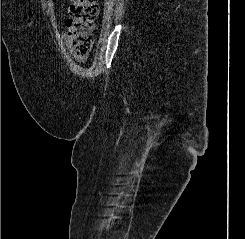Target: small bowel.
<instances>
[{
  "mask_svg": "<svg viewBox=\"0 0 245 239\" xmlns=\"http://www.w3.org/2000/svg\"><path fill=\"white\" fill-rule=\"evenodd\" d=\"M74 58L78 61V62H83L85 61L86 57H77V56H74Z\"/></svg>",
  "mask_w": 245,
  "mask_h": 239,
  "instance_id": "c3829d8e",
  "label": "small bowel"
}]
</instances>
